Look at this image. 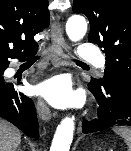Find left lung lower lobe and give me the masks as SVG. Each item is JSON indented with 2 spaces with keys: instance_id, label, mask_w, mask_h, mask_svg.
<instances>
[{
  "instance_id": "0a47b994",
  "label": "left lung lower lobe",
  "mask_w": 131,
  "mask_h": 151,
  "mask_svg": "<svg viewBox=\"0 0 131 151\" xmlns=\"http://www.w3.org/2000/svg\"><path fill=\"white\" fill-rule=\"evenodd\" d=\"M99 108L97 118L83 121V133L104 131L113 126H131V89L116 85L88 84Z\"/></svg>"
}]
</instances>
